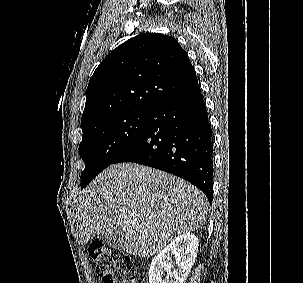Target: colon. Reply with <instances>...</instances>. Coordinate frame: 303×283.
I'll return each mask as SVG.
<instances>
[{
	"label": "colon",
	"mask_w": 303,
	"mask_h": 283,
	"mask_svg": "<svg viewBox=\"0 0 303 283\" xmlns=\"http://www.w3.org/2000/svg\"><path fill=\"white\" fill-rule=\"evenodd\" d=\"M89 255L103 283H138L142 281L137 265L127 255L93 241Z\"/></svg>",
	"instance_id": "obj_1"
}]
</instances>
